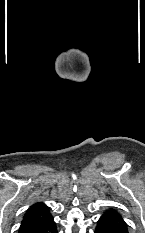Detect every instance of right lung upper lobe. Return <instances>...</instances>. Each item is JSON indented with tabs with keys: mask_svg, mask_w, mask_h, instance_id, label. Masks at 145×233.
<instances>
[{
	"mask_svg": "<svg viewBox=\"0 0 145 233\" xmlns=\"http://www.w3.org/2000/svg\"><path fill=\"white\" fill-rule=\"evenodd\" d=\"M51 217L49 208L45 204L36 203L26 211L19 228V233H26Z\"/></svg>",
	"mask_w": 145,
	"mask_h": 233,
	"instance_id": "cb5924a9",
	"label": "right lung upper lobe"
}]
</instances>
